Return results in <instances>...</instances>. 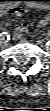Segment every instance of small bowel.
Here are the masks:
<instances>
[{
    "label": "small bowel",
    "instance_id": "c3829d8e",
    "mask_svg": "<svg viewBox=\"0 0 50 111\" xmlns=\"http://www.w3.org/2000/svg\"><path fill=\"white\" fill-rule=\"evenodd\" d=\"M28 12V10L26 8L23 7H14V8H2L1 9V13H14L16 15H22V14H26ZM50 21L49 17H45L44 19H42L38 25L40 27H45ZM28 31V27L27 25H22L20 27H18L15 31H14V37L16 39H19L23 36L24 33H26Z\"/></svg>",
    "mask_w": 50,
    "mask_h": 111
}]
</instances>
